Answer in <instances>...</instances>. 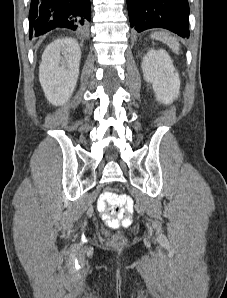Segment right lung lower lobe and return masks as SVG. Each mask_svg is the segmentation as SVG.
<instances>
[{"label":"right lung lower lobe","mask_w":227,"mask_h":298,"mask_svg":"<svg viewBox=\"0 0 227 298\" xmlns=\"http://www.w3.org/2000/svg\"><path fill=\"white\" fill-rule=\"evenodd\" d=\"M90 21V0H31L30 38L55 28L82 29Z\"/></svg>","instance_id":"right-lung-lower-lobe-1"}]
</instances>
